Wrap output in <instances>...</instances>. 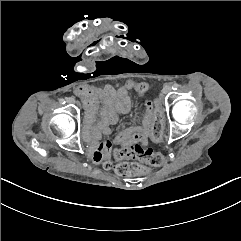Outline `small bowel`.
I'll return each instance as SVG.
<instances>
[{
  "label": "small bowel",
  "instance_id": "1",
  "mask_svg": "<svg viewBox=\"0 0 241 241\" xmlns=\"http://www.w3.org/2000/svg\"><path fill=\"white\" fill-rule=\"evenodd\" d=\"M133 84L134 82H127L119 88H114L110 85L104 88L80 86L75 90V94L82 99L87 111V126L84 128V135L88 138L92 148H94L92 159L96 163L108 157L113 147L118 146L125 149L137 144L146 145L148 142L155 111L146 103L144 117L140 126L125 128L112 140L99 141L102 134H111V127L117 123L120 114L130 109L131 99L129 90ZM98 103L102 104V109L100 119L96 122Z\"/></svg>",
  "mask_w": 241,
  "mask_h": 241
}]
</instances>
